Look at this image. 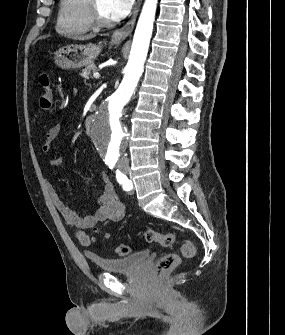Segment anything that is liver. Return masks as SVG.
<instances>
[{
  "mask_svg": "<svg viewBox=\"0 0 285 335\" xmlns=\"http://www.w3.org/2000/svg\"><path fill=\"white\" fill-rule=\"evenodd\" d=\"M95 38L94 34H89V36H73V40H91Z\"/></svg>",
  "mask_w": 285,
  "mask_h": 335,
  "instance_id": "obj_1",
  "label": "liver"
}]
</instances>
